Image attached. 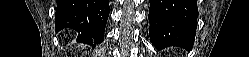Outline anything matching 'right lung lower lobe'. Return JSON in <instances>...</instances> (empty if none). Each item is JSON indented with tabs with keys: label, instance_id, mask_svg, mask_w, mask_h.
Wrapping results in <instances>:
<instances>
[{
	"label": "right lung lower lobe",
	"instance_id": "right-lung-lower-lobe-1",
	"mask_svg": "<svg viewBox=\"0 0 249 57\" xmlns=\"http://www.w3.org/2000/svg\"><path fill=\"white\" fill-rule=\"evenodd\" d=\"M108 16V0H58L56 30L72 28L79 42L93 46L103 41Z\"/></svg>",
	"mask_w": 249,
	"mask_h": 57
}]
</instances>
